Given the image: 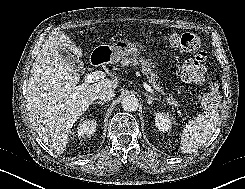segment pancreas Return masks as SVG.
<instances>
[{"mask_svg":"<svg viewBox=\"0 0 245 189\" xmlns=\"http://www.w3.org/2000/svg\"><path fill=\"white\" fill-rule=\"evenodd\" d=\"M122 66H129L131 65H140L142 67V73L147 76L149 82L152 84L154 89L158 92H162L160 85L156 84L157 81V74L152 70V66L147 59L142 57H138L137 54L133 55L131 58H123L121 61ZM164 94V93H162ZM171 102H174L173 96H169L167 98Z\"/></svg>","mask_w":245,"mask_h":189,"instance_id":"1","label":"pancreas"}]
</instances>
